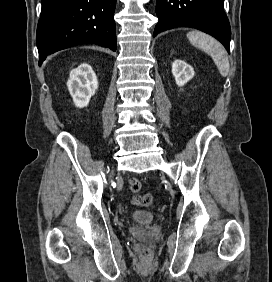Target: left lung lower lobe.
<instances>
[{
    "mask_svg": "<svg viewBox=\"0 0 272 282\" xmlns=\"http://www.w3.org/2000/svg\"><path fill=\"white\" fill-rule=\"evenodd\" d=\"M224 0H157L156 34L182 26L193 27L218 39L230 53L231 29L223 10Z\"/></svg>",
    "mask_w": 272,
    "mask_h": 282,
    "instance_id": "left-lung-lower-lobe-1",
    "label": "left lung lower lobe"
}]
</instances>
